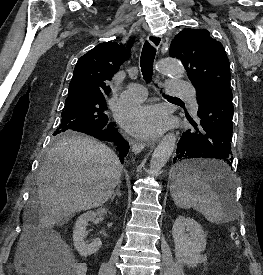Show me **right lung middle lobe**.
Wrapping results in <instances>:
<instances>
[{"mask_svg": "<svg viewBox=\"0 0 263 275\" xmlns=\"http://www.w3.org/2000/svg\"><path fill=\"white\" fill-rule=\"evenodd\" d=\"M104 96L77 95L66 98L59 127L54 132V141L61 140L65 133L79 128L102 129L108 122Z\"/></svg>", "mask_w": 263, "mask_h": 275, "instance_id": "dd1d6c3e", "label": "right lung middle lobe"}]
</instances>
